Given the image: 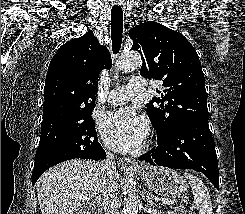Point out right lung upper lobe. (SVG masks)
I'll return each instance as SVG.
<instances>
[{"instance_id":"cb5924a9","label":"right lung upper lobe","mask_w":245,"mask_h":214,"mask_svg":"<svg viewBox=\"0 0 245 214\" xmlns=\"http://www.w3.org/2000/svg\"><path fill=\"white\" fill-rule=\"evenodd\" d=\"M111 56L89 30L63 44L51 59L45 79L41 131L56 128L91 113L101 70Z\"/></svg>"}]
</instances>
